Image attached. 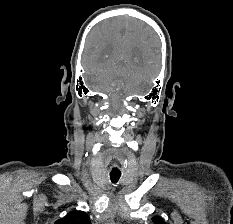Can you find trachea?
I'll list each match as a JSON object with an SVG mask.
<instances>
[{
  "mask_svg": "<svg viewBox=\"0 0 233 224\" xmlns=\"http://www.w3.org/2000/svg\"><path fill=\"white\" fill-rule=\"evenodd\" d=\"M121 172H110V179L113 183H117L120 179Z\"/></svg>",
  "mask_w": 233,
  "mask_h": 224,
  "instance_id": "3493384b",
  "label": "trachea"
}]
</instances>
